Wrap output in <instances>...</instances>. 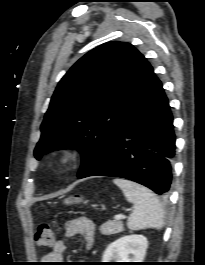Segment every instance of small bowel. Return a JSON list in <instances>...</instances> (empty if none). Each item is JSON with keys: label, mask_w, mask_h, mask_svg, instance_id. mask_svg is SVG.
<instances>
[{"label": "small bowel", "mask_w": 205, "mask_h": 265, "mask_svg": "<svg viewBox=\"0 0 205 265\" xmlns=\"http://www.w3.org/2000/svg\"><path fill=\"white\" fill-rule=\"evenodd\" d=\"M94 224L85 217L72 219L65 224V237L72 238L74 236H82L85 241V249L90 250L94 241ZM67 250V242L65 239L55 242L52 251L47 253L43 260L46 263H58L63 260V255Z\"/></svg>", "instance_id": "c3829d8e"}]
</instances>
